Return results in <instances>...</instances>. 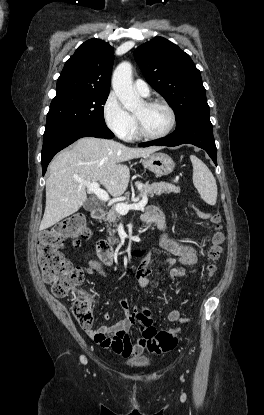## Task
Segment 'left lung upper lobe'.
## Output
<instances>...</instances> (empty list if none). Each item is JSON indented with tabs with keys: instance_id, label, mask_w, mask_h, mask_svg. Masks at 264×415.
<instances>
[{
	"instance_id": "left-lung-upper-lobe-1",
	"label": "left lung upper lobe",
	"mask_w": 264,
	"mask_h": 415,
	"mask_svg": "<svg viewBox=\"0 0 264 415\" xmlns=\"http://www.w3.org/2000/svg\"><path fill=\"white\" fill-rule=\"evenodd\" d=\"M147 82L169 102L176 124L209 112L200 71L190 56L169 40L156 37L134 51Z\"/></svg>"
}]
</instances>
